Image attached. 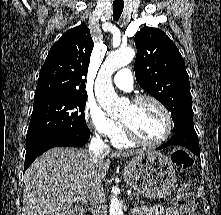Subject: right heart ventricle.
I'll return each instance as SVG.
<instances>
[{
  "label": "right heart ventricle",
  "mask_w": 221,
  "mask_h": 215,
  "mask_svg": "<svg viewBox=\"0 0 221 215\" xmlns=\"http://www.w3.org/2000/svg\"><path fill=\"white\" fill-rule=\"evenodd\" d=\"M112 142L116 147L119 148H126L131 145V142L125 137L122 129L115 137L112 138Z\"/></svg>",
  "instance_id": "1"
}]
</instances>
